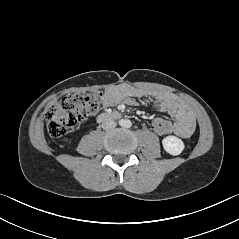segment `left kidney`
Segmentation results:
<instances>
[{
	"instance_id": "1",
	"label": "left kidney",
	"mask_w": 239,
	"mask_h": 239,
	"mask_svg": "<svg viewBox=\"0 0 239 239\" xmlns=\"http://www.w3.org/2000/svg\"><path fill=\"white\" fill-rule=\"evenodd\" d=\"M164 150L171 155H179L184 149V143L176 136H167L162 140Z\"/></svg>"
}]
</instances>
